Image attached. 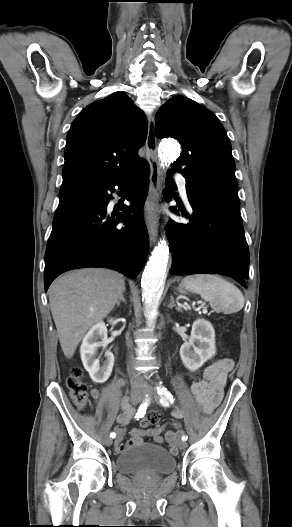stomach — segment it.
Returning <instances> with one entry per match:
<instances>
[{"mask_svg": "<svg viewBox=\"0 0 292 527\" xmlns=\"http://www.w3.org/2000/svg\"><path fill=\"white\" fill-rule=\"evenodd\" d=\"M185 289H186V288L180 287V290H179V291H180L181 293H186Z\"/></svg>", "mask_w": 292, "mask_h": 527, "instance_id": "1", "label": "stomach"}]
</instances>
